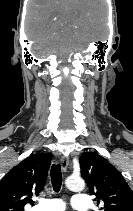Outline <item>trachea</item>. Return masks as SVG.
I'll return each instance as SVG.
<instances>
[{"instance_id":"1","label":"trachea","mask_w":133,"mask_h":211,"mask_svg":"<svg viewBox=\"0 0 133 211\" xmlns=\"http://www.w3.org/2000/svg\"><path fill=\"white\" fill-rule=\"evenodd\" d=\"M51 182L55 192H58L62 185V172L60 164H53L51 167Z\"/></svg>"}]
</instances>
